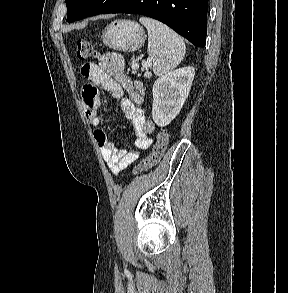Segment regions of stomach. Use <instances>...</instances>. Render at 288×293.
Returning <instances> with one entry per match:
<instances>
[{
	"mask_svg": "<svg viewBox=\"0 0 288 293\" xmlns=\"http://www.w3.org/2000/svg\"><path fill=\"white\" fill-rule=\"evenodd\" d=\"M144 29L135 21L115 20L102 32L103 43L111 49L133 52L145 43Z\"/></svg>",
	"mask_w": 288,
	"mask_h": 293,
	"instance_id": "stomach-1",
	"label": "stomach"
}]
</instances>
